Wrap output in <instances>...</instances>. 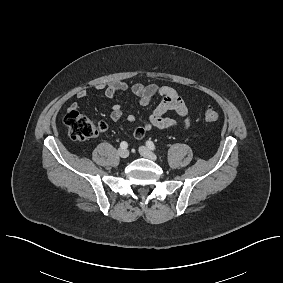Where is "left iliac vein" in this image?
<instances>
[{"instance_id":"4c4485c4","label":"left iliac vein","mask_w":283,"mask_h":283,"mask_svg":"<svg viewBox=\"0 0 283 283\" xmlns=\"http://www.w3.org/2000/svg\"><path fill=\"white\" fill-rule=\"evenodd\" d=\"M139 152L145 158H148L153 161L157 160V156L145 146H141L139 148Z\"/></svg>"}]
</instances>
